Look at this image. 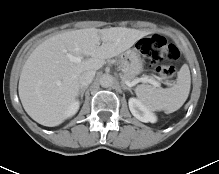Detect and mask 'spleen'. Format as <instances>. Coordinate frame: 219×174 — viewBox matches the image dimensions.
Listing matches in <instances>:
<instances>
[{
    "instance_id": "1",
    "label": "spleen",
    "mask_w": 219,
    "mask_h": 174,
    "mask_svg": "<svg viewBox=\"0 0 219 174\" xmlns=\"http://www.w3.org/2000/svg\"><path fill=\"white\" fill-rule=\"evenodd\" d=\"M191 77L188 65L178 72L177 82L171 88H156L141 84L135 88L137 98L149 109L172 113L186 101L190 91Z\"/></svg>"
}]
</instances>
